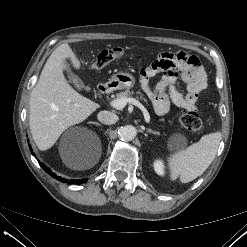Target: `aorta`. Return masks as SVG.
<instances>
[{"label": "aorta", "instance_id": "762f6f07", "mask_svg": "<svg viewBox=\"0 0 247 247\" xmlns=\"http://www.w3.org/2000/svg\"><path fill=\"white\" fill-rule=\"evenodd\" d=\"M119 138L123 141H131L135 138L137 130L132 125H126L119 129Z\"/></svg>", "mask_w": 247, "mask_h": 247}]
</instances>
